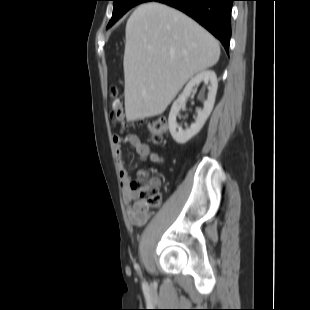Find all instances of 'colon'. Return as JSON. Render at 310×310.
Returning a JSON list of instances; mask_svg holds the SVG:
<instances>
[{"instance_id": "colon-1", "label": "colon", "mask_w": 310, "mask_h": 310, "mask_svg": "<svg viewBox=\"0 0 310 310\" xmlns=\"http://www.w3.org/2000/svg\"><path fill=\"white\" fill-rule=\"evenodd\" d=\"M111 117L122 127H128L125 119L121 100L117 97L116 87H111ZM146 128L151 141L159 142L167 131V121L164 118H156L146 123ZM132 190L136 191L138 198L147 208H156L161 203V194L158 185L153 178H149L145 171H140L138 179L130 183Z\"/></svg>"}]
</instances>
